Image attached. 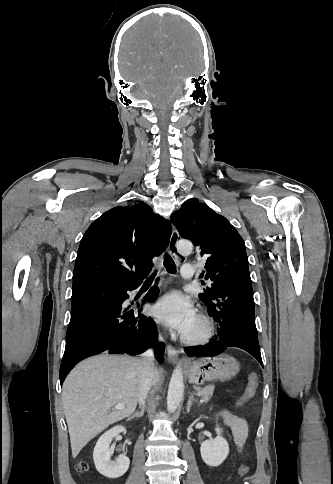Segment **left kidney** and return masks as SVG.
I'll use <instances>...</instances> for the list:
<instances>
[{"mask_svg":"<svg viewBox=\"0 0 333 484\" xmlns=\"http://www.w3.org/2000/svg\"><path fill=\"white\" fill-rule=\"evenodd\" d=\"M215 431L218 436L204 441L200 447L203 461L211 467L221 465L229 454L228 442L221 436L222 429L217 426Z\"/></svg>","mask_w":333,"mask_h":484,"instance_id":"left-kidney-1","label":"left kidney"}]
</instances>
